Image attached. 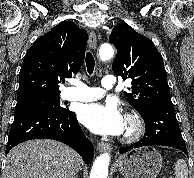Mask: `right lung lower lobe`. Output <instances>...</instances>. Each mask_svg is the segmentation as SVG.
<instances>
[{
	"label": "right lung lower lobe",
	"mask_w": 194,
	"mask_h": 178,
	"mask_svg": "<svg viewBox=\"0 0 194 178\" xmlns=\"http://www.w3.org/2000/svg\"><path fill=\"white\" fill-rule=\"evenodd\" d=\"M31 139H54L76 150L90 164L94 157L92 143L85 137L73 112L53 111L44 107L15 110L6 153L12 147Z\"/></svg>",
	"instance_id": "right-lung-lower-lobe-1"
}]
</instances>
